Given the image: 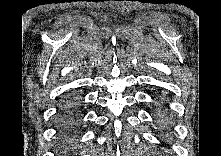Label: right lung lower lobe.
Segmentation results:
<instances>
[{"mask_svg": "<svg viewBox=\"0 0 221 156\" xmlns=\"http://www.w3.org/2000/svg\"><path fill=\"white\" fill-rule=\"evenodd\" d=\"M81 108L80 98L77 93L69 92L68 95L64 96L57 116L58 123L63 131L69 132L76 129Z\"/></svg>", "mask_w": 221, "mask_h": 156, "instance_id": "right-lung-lower-lobe-1", "label": "right lung lower lobe"}]
</instances>
